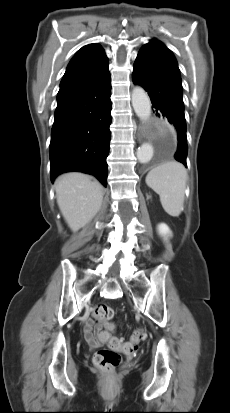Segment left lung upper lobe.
<instances>
[{
  "label": "left lung upper lobe",
  "instance_id": "obj_1",
  "mask_svg": "<svg viewBox=\"0 0 230 413\" xmlns=\"http://www.w3.org/2000/svg\"><path fill=\"white\" fill-rule=\"evenodd\" d=\"M143 47H149L157 50L161 53L165 58H167L171 64L178 68L177 61L173 55V53L160 41L154 39L151 42L145 44ZM179 69V68H178Z\"/></svg>",
  "mask_w": 230,
  "mask_h": 413
}]
</instances>
